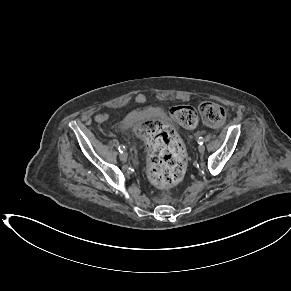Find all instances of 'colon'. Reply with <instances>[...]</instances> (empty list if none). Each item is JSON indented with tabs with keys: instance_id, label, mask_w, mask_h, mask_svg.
<instances>
[{
	"instance_id": "1",
	"label": "colon",
	"mask_w": 291,
	"mask_h": 291,
	"mask_svg": "<svg viewBox=\"0 0 291 291\" xmlns=\"http://www.w3.org/2000/svg\"><path fill=\"white\" fill-rule=\"evenodd\" d=\"M198 112L209 126L221 125L226 117L225 109L216 103L203 102ZM174 121L184 128H194L198 123L197 111L189 105H176L170 109ZM142 134L149 148V178L161 188L179 183L186 173L187 155L174 130L160 122L149 121L142 126Z\"/></svg>"
}]
</instances>
